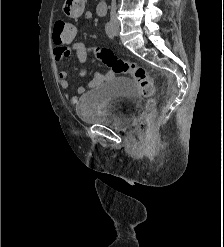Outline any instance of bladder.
<instances>
[{"instance_id":"bladder-1","label":"bladder","mask_w":224,"mask_h":247,"mask_svg":"<svg viewBox=\"0 0 224 247\" xmlns=\"http://www.w3.org/2000/svg\"><path fill=\"white\" fill-rule=\"evenodd\" d=\"M138 105L139 96L133 80L114 77L87 90L76 104L75 112L86 124L126 131L132 126Z\"/></svg>"}]
</instances>
